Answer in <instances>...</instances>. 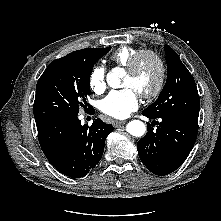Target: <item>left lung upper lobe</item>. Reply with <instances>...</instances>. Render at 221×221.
Segmentation results:
<instances>
[{"mask_svg":"<svg viewBox=\"0 0 221 221\" xmlns=\"http://www.w3.org/2000/svg\"><path fill=\"white\" fill-rule=\"evenodd\" d=\"M165 51L166 84L157 101L148 106L144 112L152 118L198 121L200 98L194 78L170 46L167 45Z\"/></svg>","mask_w":221,"mask_h":221,"instance_id":"obj_1","label":"left lung upper lobe"}]
</instances>
